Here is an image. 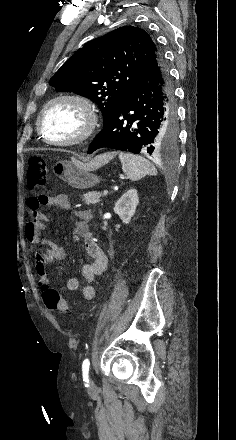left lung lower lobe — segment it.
<instances>
[{"label": "left lung lower lobe", "mask_w": 236, "mask_h": 440, "mask_svg": "<svg viewBox=\"0 0 236 440\" xmlns=\"http://www.w3.org/2000/svg\"><path fill=\"white\" fill-rule=\"evenodd\" d=\"M174 87L162 55L152 57L135 87L93 140L91 154L102 147L152 154L176 137Z\"/></svg>", "instance_id": "1"}]
</instances>
